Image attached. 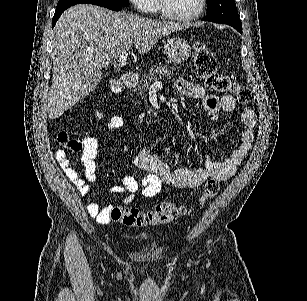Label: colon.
I'll return each instance as SVG.
<instances>
[{"mask_svg":"<svg viewBox=\"0 0 307 301\" xmlns=\"http://www.w3.org/2000/svg\"><path fill=\"white\" fill-rule=\"evenodd\" d=\"M194 63L198 76L208 88L220 93H232L241 104H248L254 100V93L248 86L239 84L229 76L217 72L215 56L203 42L195 44ZM108 85L112 93H118L121 89L119 80H110ZM58 142L72 152H79L83 148L82 140L71 137L67 132L59 134ZM219 188L218 180L213 178L207 180L201 192L200 203L203 204L215 197ZM185 213L186 209L183 206L162 202L149 210H140L135 207H113L110 217L113 221L121 222L128 227H145L174 222Z\"/></svg>","mask_w":307,"mask_h":301,"instance_id":"colon-1","label":"colon"}]
</instances>
